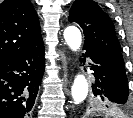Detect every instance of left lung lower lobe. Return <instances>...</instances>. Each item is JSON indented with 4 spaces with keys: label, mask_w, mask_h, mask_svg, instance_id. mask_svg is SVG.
<instances>
[{
    "label": "left lung lower lobe",
    "mask_w": 133,
    "mask_h": 118,
    "mask_svg": "<svg viewBox=\"0 0 133 118\" xmlns=\"http://www.w3.org/2000/svg\"><path fill=\"white\" fill-rule=\"evenodd\" d=\"M83 49L86 51L84 56L91 60L90 69L94 71V95L115 106L116 110L126 109L129 89L125 67L95 47L84 46Z\"/></svg>",
    "instance_id": "1"
}]
</instances>
